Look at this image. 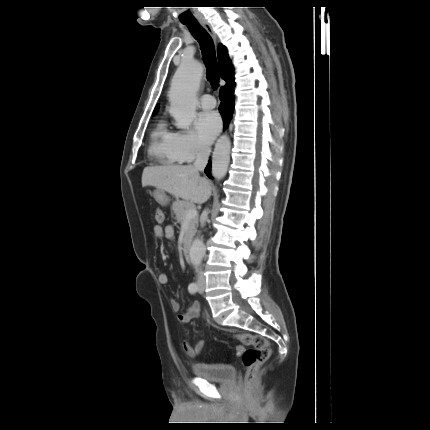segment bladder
<instances>
[{"mask_svg": "<svg viewBox=\"0 0 430 430\" xmlns=\"http://www.w3.org/2000/svg\"><path fill=\"white\" fill-rule=\"evenodd\" d=\"M192 371L196 377L217 383H229L235 375L236 369L230 364H210L198 363L192 366Z\"/></svg>", "mask_w": 430, "mask_h": 430, "instance_id": "bladder-1", "label": "bladder"}]
</instances>
